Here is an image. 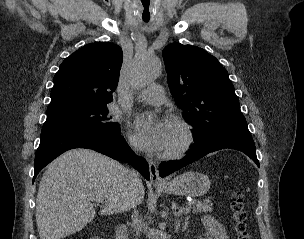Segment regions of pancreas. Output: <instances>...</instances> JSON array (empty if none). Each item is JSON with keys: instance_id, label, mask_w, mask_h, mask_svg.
<instances>
[{"instance_id": "pancreas-1", "label": "pancreas", "mask_w": 304, "mask_h": 239, "mask_svg": "<svg viewBox=\"0 0 304 239\" xmlns=\"http://www.w3.org/2000/svg\"><path fill=\"white\" fill-rule=\"evenodd\" d=\"M212 211V204L209 200L206 201H196L193 207V212H211Z\"/></svg>"}]
</instances>
